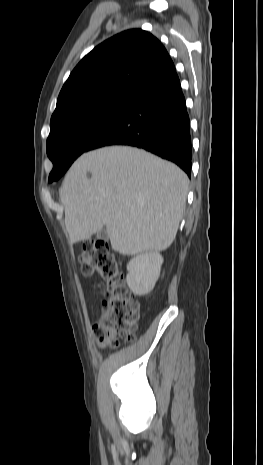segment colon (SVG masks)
<instances>
[{
	"label": "colon",
	"instance_id": "obj_1",
	"mask_svg": "<svg viewBox=\"0 0 263 465\" xmlns=\"http://www.w3.org/2000/svg\"><path fill=\"white\" fill-rule=\"evenodd\" d=\"M82 272L86 276L98 273L105 286L103 314L93 327L102 346H112L116 338L130 339L138 328L139 305L124 283L119 262L102 240H88L80 255Z\"/></svg>",
	"mask_w": 263,
	"mask_h": 465
}]
</instances>
